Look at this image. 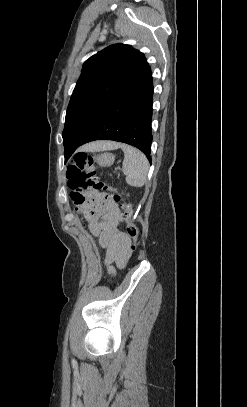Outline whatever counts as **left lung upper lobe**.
I'll list each match as a JSON object with an SVG mask.
<instances>
[{
  "label": "left lung upper lobe",
  "instance_id": "5c2ea615",
  "mask_svg": "<svg viewBox=\"0 0 247 407\" xmlns=\"http://www.w3.org/2000/svg\"><path fill=\"white\" fill-rule=\"evenodd\" d=\"M147 67L144 54L126 44L111 45L84 63L66 112L65 162L111 101Z\"/></svg>",
  "mask_w": 247,
  "mask_h": 407
}]
</instances>
